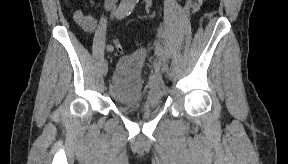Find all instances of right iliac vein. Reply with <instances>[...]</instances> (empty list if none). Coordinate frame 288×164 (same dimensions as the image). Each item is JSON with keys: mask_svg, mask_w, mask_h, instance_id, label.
Returning <instances> with one entry per match:
<instances>
[{"mask_svg": "<svg viewBox=\"0 0 288 164\" xmlns=\"http://www.w3.org/2000/svg\"><path fill=\"white\" fill-rule=\"evenodd\" d=\"M107 72H108V62L107 60H105L103 63V74L106 75Z\"/></svg>", "mask_w": 288, "mask_h": 164, "instance_id": "right-iliac-vein-1", "label": "right iliac vein"}]
</instances>
